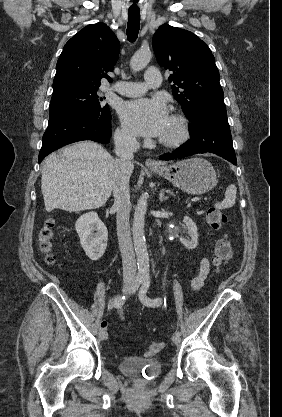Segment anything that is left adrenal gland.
I'll return each mask as SVG.
<instances>
[{"mask_svg": "<svg viewBox=\"0 0 282 417\" xmlns=\"http://www.w3.org/2000/svg\"><path fill=\"white\" fill-rule=\"evenodd\" d=\"M165 188H161L160 190V194H159V200H167V198H169V196H165V192H164Z\"/></svg>", "mask_w": 282, "mask_h": 417, "instance_id": "a2214340", "label": "left adrenal gland"}]
</instances>
